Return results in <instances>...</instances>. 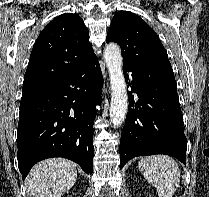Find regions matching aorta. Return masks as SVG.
I'll return each instance as SVG.
<instances>
[{"label": "aorta", "instance_id": "aorta-1", "mask_svg": "<svg viewBox=\"0 0 209 197\" xmlns=\"http://www.w3.org/2000/svg\"><path fill=\"white\" fill-rule=\"evenodd\" d=\"M104 58L109 71L111 84L110 121L114 127L120 126L128 109L126 83L122 71V55L120 47L110 43L104 50Z\"/></svg>", "mask_w": 209, "mask_h": 197}]
</instances>
